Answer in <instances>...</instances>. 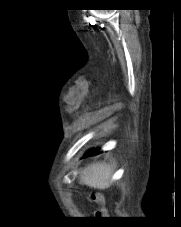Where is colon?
Instances as JSON below:
<instances>
[{"label":"colon","instance_id":"1","mask_svg":"<svg viewBox=\"0 0 181 227\" xmlns=\"http://www.w3.org/2000/svg\"><path fill=\"white\" fill-rule=\"evenodd\" d=\"M90 200L100 206L99 210L96 212V216L102 217L107 215V211L104 207V197L101 194H92Z\"/></svg>","mask_w":181,"mask_h":227}]
</instances>
